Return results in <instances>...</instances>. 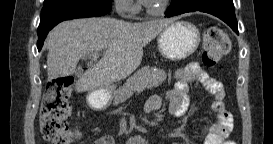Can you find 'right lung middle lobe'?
<instances>
[{"label":"right lung middle lobe","instance_id":"1","mask_svg":"<svg viewBox=\"0 0 273 144\" xmlns=\"http://www.w3.org/2000/svg\"><path fill=\"white\" fill-rule=\"evenodd\" d=\"M51 1H53V0H45V1H44V4H46V3H48V2H51Z\"/></svg>","mask_w":273,"mask_h":144}]
</instances>
